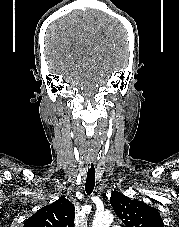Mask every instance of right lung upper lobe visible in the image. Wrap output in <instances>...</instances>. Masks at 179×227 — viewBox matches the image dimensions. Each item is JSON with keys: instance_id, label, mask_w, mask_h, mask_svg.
<instances>
[{"instance_id": "cb5924a9", "label": "right lung upper lobe", "mask_w": 179, "mask_h": 227, "mask_svg": "<svg viewBox=\"0 0 179 227\" xmlns=\"http://www.w3.org/2000/svg\"><path fill=\"white\" fill-rule=\"evenodd\" d=\"M74 217V205L62 197L38 210L23 227H74Z\"/></svg>"}]
</instances>
